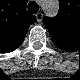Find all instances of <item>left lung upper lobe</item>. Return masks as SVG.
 I'll list each match as a JSON object with an SVG mask.
<instances>
[{"label": "left lung upper lobe", "instance_id": "left-lung-upper-lobe-1", "mask_svg": "<svg viewBox=\"0 0 80 80\" xmlns=\"http://www.w3.org/2000/svg\"><path fill=\"white\" fill-rule=\"evenodd\" d=\"M59 14L55 18H45L44 25L48 28L52 40L55 44L65 47L69 45L72 37L79 38V21L75 19L70 8L69 2L60 0Z\"/></svg>", "mask_w": 80, "mask_h": 80}]
</instances>
